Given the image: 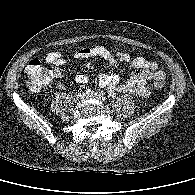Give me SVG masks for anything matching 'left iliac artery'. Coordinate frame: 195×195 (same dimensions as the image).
Returning <instances> with one entry per match:
<instances>
[{
  "instance_id": "44dca946",
  "label": "left iliac artery",
  "mask_w": 195,
  "mask_h": 195,
  "mask_svg": "<svg viewBox=\"0 0 195 195\" xmlns=\"http://www.w3.org/2000/svg\"><path fill=\"white\" fill-rule=\"evenodd\" d=\"M100 96L102 97V99H104V94L102 93V94H100Z\"/></svg>"
}]
</instances>
